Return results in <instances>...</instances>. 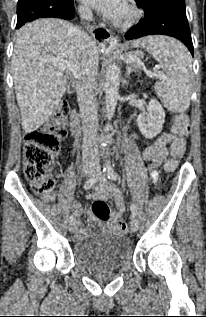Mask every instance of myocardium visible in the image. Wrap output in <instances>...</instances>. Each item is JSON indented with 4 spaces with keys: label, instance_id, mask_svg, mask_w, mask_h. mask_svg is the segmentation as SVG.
<instances>
[{
    "label": "myocardium",
    "instance_id": "obj_1",
    "mask_svg": "<svg viewBox=\"0 0 206 317\" xmlns=\"http://www.w3.org/2000/svg\"><path fill=\"white\" fill-rule=\"evenodd\" d=\"M141 11L130 0L125 2V15L122 17H115L113 23L119 28H129L134 25L140 18Z\"/></svg>",
    "mask_w": 206,
    "mask_h": 317
}]
</instances>
